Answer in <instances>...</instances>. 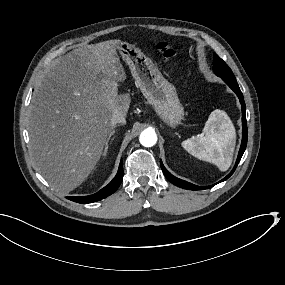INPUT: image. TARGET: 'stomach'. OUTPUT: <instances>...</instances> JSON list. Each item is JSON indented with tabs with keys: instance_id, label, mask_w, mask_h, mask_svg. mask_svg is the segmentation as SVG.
<instances>
[{
	"instance_id": "obj_1",
	"label": "stomach",
	"mask_w": 285,
	"mask_h": 285,
	"mask_svg": "<svg viewBox=\"0 0 285 285\" xmlns=\"http://www.w3.org/2000/svg\"><path fill=\"white\" fill-rule=\"evenodd\" d=\"M118 50L127 62L142 95L156 115L169 127L176 129L184 116L175 87L160 73L150 58L128 43H120Z\"/></svg>"
}]
</instances>
